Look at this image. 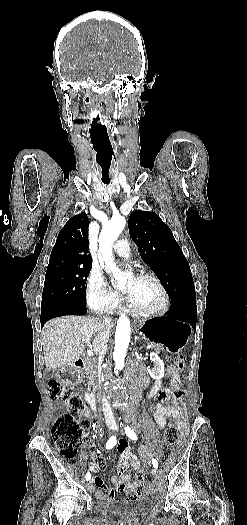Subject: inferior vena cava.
<instances>
[{
  "label": "inferior vena cava",
  "mask_w": 247,
  "mask_h": 525,
  "mask_svg": "<svg viewBox=\"0 0 247 525\" xmlns=\"http://www.w3.org/2000/svg\"><path fill=\"white\" fill-rule=\"evenodd\" d=\"M102 323H103V325H106V323H111L110 317H102ZM106 349H107L106 341H104V343H100V351L98 353V355H99V359H98L99 367H100V365H102V361L104 359V355L106 353ZM100 369H101V367H100ZM99 373H100V371H99ZM99 383H101V375L99 377Z\"/></svg>",
  "instance_id": "602c4592"
}]
</instances>
